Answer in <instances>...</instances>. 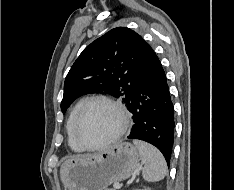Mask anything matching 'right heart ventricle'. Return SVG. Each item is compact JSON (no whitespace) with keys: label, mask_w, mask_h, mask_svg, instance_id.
Masks as SVG:
<instances>
[{"label":"right heart ventricle","mask_w":234,"mask_h":190,"mask_svg":"<svg viewBox=\"0 0 234 190\" xmlns=\"http://www.w3.org/2000/svg\"><path fill=\"white\" fill-rule=\"evenodd\" d=\"M85 100H80L72 109L67 123H66V132H67V136H68V144L70 146V148L76 152H80L82 151L81 147L76 143V141L73 138V125H74V121L76 118V115L80 109V107L82 106V104L84 103Z\"/></svg>","instance_id":"e07e8e85"}]
</instances>
